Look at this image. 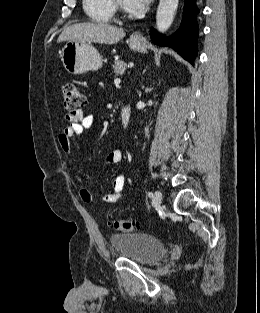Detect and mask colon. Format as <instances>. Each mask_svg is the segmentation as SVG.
<instances>
[{"label":"colon","instance_id":"1","mask_svg":"<svg viewBox=\"0 0 260 313\" xmlns=\"http://www.w3.org/2000/svg\"><path fill=\"white\" fill-rule=\"evenodd\" d=\"M62 95L65 109L71 112L79 110L86 103L83 92L74 83H64ZM111 226L120 233H128L136 229L135 224L129 220H114L111 222Z\"/></svg>","mask_w":260,"mask_h":313}]
</instances>
